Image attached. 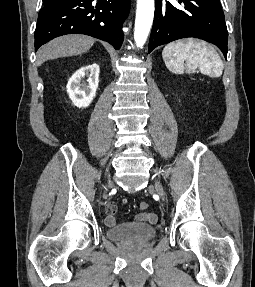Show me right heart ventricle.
<instances>
[{
	"label": "right heart ventricle",
	"mask_w": 255,
	"mask_h": 287,
	"mask_svg": "<svg viewBox=\"0 0 255 287\" xmlns=\"http://www.w3.org/2000/svg\"><path fill=\"white\" fill-rule=\"evenodd\" d=\"M102 48H116V47H102Z\"/></svg>",
	"instance_id": "right-heart-ventricle-1"
}]
</instances>
